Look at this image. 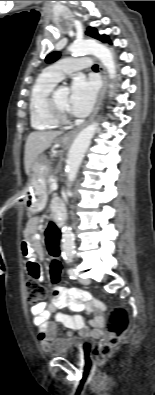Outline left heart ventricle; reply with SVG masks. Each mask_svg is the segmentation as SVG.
Masks as SVG:
<instances>
[{
    "label": "left heart ventricle",
    "instance_id": "1",
    "mask_svg": "<svg viewBox=\"0 0 155 395\" xmlns=\"http://www.w3.org/2000/svg\"><path fill=\"white\" fill-rule=\"evenodd\" d=\"M55 98H56V102H57L58 106L60 107V109H62L63 111H65L67 113L68 100H69L68 91H66L64 89H59L56 92Z\"/></svg>",
    "mask_w": 155,
    "mask_h": 395
}]
</instances>
